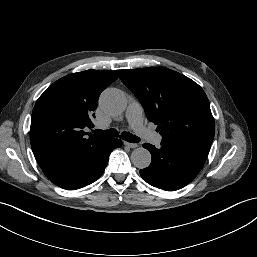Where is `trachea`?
Listing matches in <instances>:
<instances>
[{
	"label": "trachea",
	"mask_w": 257,
	"mask_h": 257,
	"mask_svg": "<svg viewBox=\"0 0 257 257\" xmlns=\"http://www.w3.org/2000/svg\"><path fill=\"white\" fill-rule=\"evenodd\" d=\"M93 132L95 135L102 138H113V137H118L119 135L118 131L115 129H108V130L97 129V130H94ZM121 138L130 143H138L140 141V138H138L137 136L129 132H123L121 134Z\"/></svg>",
	"instance_id": "trachea-1"
}]
</instances>
